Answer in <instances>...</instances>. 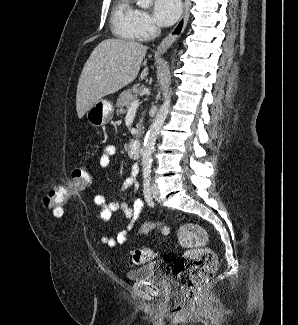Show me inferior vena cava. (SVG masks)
Segmentation results:
<instances>
[{
    "mask_svg": "<svg viewBox=\"0 0 298 325\" xmlns=\"http://www.w3.org/2000/svg\"><path fill=\"white\" fill-rule=\"evenodd\" d=\"M160 32H161V30H160V28H158V30H157V34H160Z\"/></svg>",
    "mask_w": 298,
    "mask_h": 325,
    "instance_id": "obj_1",
    "label": "inferior vena cava"
}]
</instances>
